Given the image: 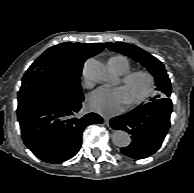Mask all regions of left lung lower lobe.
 Listing matches in <instances>:
<instances>
[{"mask_svg": "<svg viewBox=\"0 0 194 193\" xmlns=\"http://www.w3.org/2000/svg\"><path fill=\"white\" fill-rule=\"evenodd\" d=\"M171 113V99L162 98L112 118L111 127L128 132L132 138L131 144L121 148V152L135 159H143L155 153L168 132Z\"/></svg>", "mask_w": 194, "mask_h": 193, "instance_id": "obj_1", "label": "left lung lower lobe"}]
</instances>
